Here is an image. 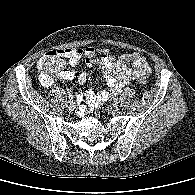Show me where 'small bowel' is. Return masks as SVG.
Masks as SVG:
<instances>
[{
	"label": "small bowel",
	"instance_id": "small-bowel-1",
	"mask_svg": "<svg viewBox=\"0 0 195 195\" xmlns=\"http://www.w3.org/2000/svg\"><path fill=\"white\" fill-rule=\"evenodd\" d=\"M58 52L68 59L72 67H76L82 58L89 67L98 64L107 80V90L98 93L87 90L84 95L77 96L78 100L86 101V106L78 110L79 116L100 108L112 95L120 93L130 82L151 73V67L146 58L135 52L115 56L107 49L98 50L94 47L70 48ZM60 76L66 80L77 78L79 84H85L87 81L85 72L76 75L74 71L66 69Z\"/></svg>",
	"mask_w": 195,
	"mask_h": 195
}]
</instances>
